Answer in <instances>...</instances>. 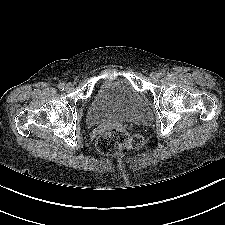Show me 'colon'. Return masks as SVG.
Masks as SVG:
<instances>
[{
  "label": "colon",
  "instance_id": "colon-1",
  "mask_svg": "<svg viewBox=\"0 0 225 225\" xmlns=\"http://www.w3.org/2000/svg\"><path fill=\"white\" fill-rule=\"evenodd\" d=\"M145 141L140 134H129L121 128H113L102 133L96 140V148L103 154H116L125 149H139Z\"/></svg>",
  "mask_w": 225,
  "mask_h": 225
}]
</instances>
